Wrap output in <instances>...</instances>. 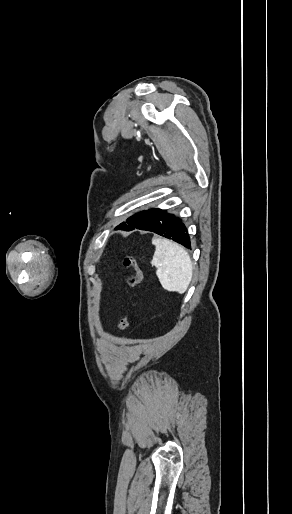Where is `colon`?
I'll return each mask as SVG.
<instances>
[{
	"label": "colon",
	"instance_id": "1",
	"mask_svg": "<svg viewBox=\"0 0 292 514\" xmlns=\"http://www.w3.org/2000/svg\"><path fill=\"white\" fill-rule=\"evenodd\" d=\"M123 267L127 271L126 283L128 288L131 291V297L129 301V305L132 306L134 303V292L137 285L142 280V271L139 267L136 266L132 256H126L123 259ZM130 326V315H125L119 322L117 328L118 331H125Z\"/></svg>",
	"mask_w": 292,
	"mask_h": 514
}]
</instances>
